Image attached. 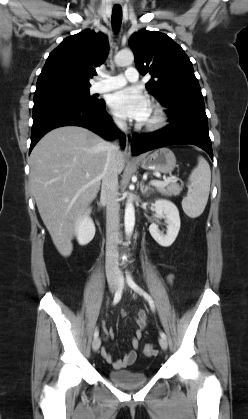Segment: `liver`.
I'll list each match as a JSON object with an SVG mask.
<instances>
[{
    "mask_svg": "<svg viewBox=\"0 0 248 419\" xmlns=\"http://www.w3.org/2000/svg\"><path fill=\"white\" fill-rule=\"evenodd\" d=\"M108 142L78 126L48 132L30 155L29 183L40 216L59 253L68 257L74 227L83 208L100 188ZM118 173L124 154L116 156Z\"/></svg>",
    "mask_w": 248,
    "mask_h": 419,
    "instance_id": "obj_1",
    "label": "liver"
}]
</instances>
